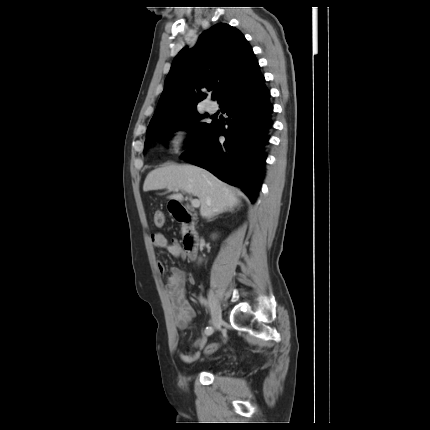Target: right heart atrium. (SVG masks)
I'll list each match as a JSON object with an SVG mask.
<instances>
[{
  "instance_id": "d8ad5b80",
  "label": "right heart atrium",
  "mask_w": 430,
  "mask_h": 430,
  "mask_svg": "<svg viewBox=\"0 0 430 430\" xmlns=\"http://www.w3.org/2000/svg\"><path fill=\"white\" fill-rule=\"evenodd\" d=\"M187 131L183 128L174 130L167 141L168 147L173 151H179L185 144Z\"/></svg>"
}]
</instances>
